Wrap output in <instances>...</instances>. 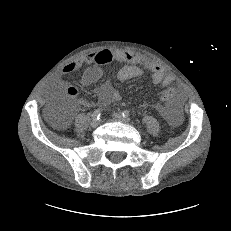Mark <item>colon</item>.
Listing matches in <instances>:
<instances>
[{
	"mask_svg": "<svg viewBox=\"0 0 231 231\" xmlns=\"http://www.w3.org/2000/svg\"><path fill=\"white\" fill-rule=\"evenodd\" d=\"M179 91L174 86H168L164 89L163 93L160 94L159 99L163 103L174 101L178 98Z\"/></svg>",
	"mask_w": 231,
	"mask_h": 231,
	"instance_id": "5ec220e1",
	"label": "colon"
}]
</instances>
